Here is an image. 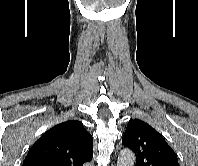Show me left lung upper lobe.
Returning <instances> with one entry per match:
<instances>
[{"mask_svg": "<svg viewBox=\"0 0 198 166\" xmlns=\"http://www.w3.org/2000/svg\"><path fill=\"white\" fill-rule=\"evenodd\" d=\"M122 144L136 156V166H179L176 153L147 123L134 119L127 124Z\"/></svg>", "mask_w": 198, "mask_h": 166, "instance_id": "1", "label": "left lung upper lobe"}]
</instances>
